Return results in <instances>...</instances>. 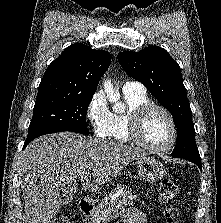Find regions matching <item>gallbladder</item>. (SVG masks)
<instances>
[{
	"label": "gallbladder",
	"instance_id": "gallbladder-1",
	"mask_svg": "<svg viewBox=\"0 0 221 223\" xmlns=\"http://www.w3.org/2000/svg\"><path fill=\"white\" fill-rule=\"evenodd\" d=\"M71 200H72V198L70 196H66V197L63 198V203L68 204V203L71 202Z\"/></svg>",
	"mask_w": 221,
	"mask_h": 223
}]
</instances>
